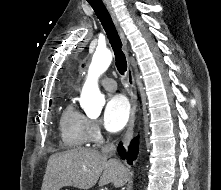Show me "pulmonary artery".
<instances>
[{"label":"pulmonary artery","mask_w":221,"mask_h":190,"mask_svg":"<svg viewBox=\"0 0 221 190\" xmlns=\"http://www.w3.org/2000/svg\"><path fill=\"white\" fill-rule=\"evenodd\" d=\"M103 87L108 91H115L117 88L116 82L112 78H104L101 81Z\"/></svg>","instance_id":"1"}]
</instances>
